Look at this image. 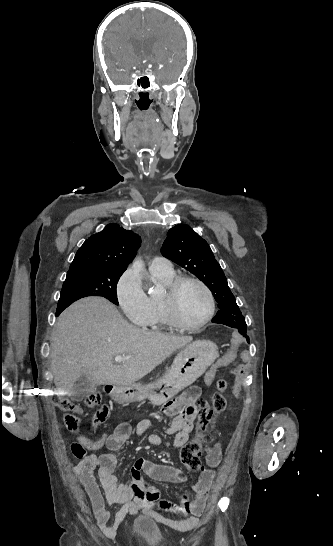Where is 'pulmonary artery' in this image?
Segmentation results:
<instances>
[{
  "label": "pulmonary artery",
  "mask_w": 333,
  "mask_h": 546,
  "mask_svg": "<svg viewBox=\"0 0 333 546\" xmlns=\"http://www.w3.org/2000/svg\"><path fill=\"white\" fill-rule=\"evenodd\" d=\"M149 269L151 272H159V273L173 272V266L171 261L162 256L154 257L149 263Z\"/></svg>",
  "instance_id": "e3ab8cb5"
}]
</instances>
